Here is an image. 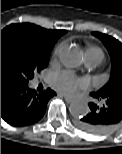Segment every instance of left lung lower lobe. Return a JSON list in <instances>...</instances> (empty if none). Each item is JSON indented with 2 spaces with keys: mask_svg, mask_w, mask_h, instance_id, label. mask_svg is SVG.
<instances>
[{
  "mask_svg": "<svg viewBox=\"0 0 122 154\" xmlns=\"http://www.w3.org/2000/svg\"><path fill=\"white\" fill-rule=\"evenodd\" d=\"M91 96L95 102L89 104V112L78 119L76 125L88 133H105L122 120V99L98 92H92Z\"/></svg>",
  "mask_w": 122,
  "mask_h": 154,
  "instance_id": "0a47b994",
  "label": "left lung lower lobe"
}]
</instances>
